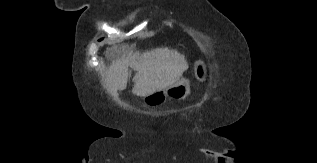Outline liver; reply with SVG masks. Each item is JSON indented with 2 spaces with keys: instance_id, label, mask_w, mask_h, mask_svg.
Segmentation results:
<instances>
[{
  "instance_id": "6515ba94",
  "label": "liver",
  "mask_w": 317,
  "mask_h": 163,
  "mask_svg": "<svg viewBox=\"0 0 317 163\" xmlns=\"http://www.w3.org/2000/svg\"><path fill=\"white\" fill-rule=\"evenodd\" d=\"M129 66L136 72L132 79V92L140 97L174 85L188 69L185 56L167 47L130 53L113 60L108 68L104 87L115 100L118 99V90H124L127 86Z\"/></svg>"
}]
</instances>
